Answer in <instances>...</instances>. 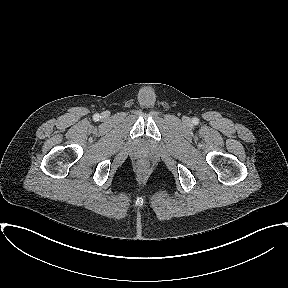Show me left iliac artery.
Segmentation results:
<instances>
[{"instance_id": "left-iliac-artery-1", "label": "left iliac artery", "mask_w": 288, "mask_h": 288, "mask_svg": "<svg viewBox=\"0 0 288 288\" xmlns=\"http://www.w3.org/2000/svg\"><path fill=\"white\" fill-rule=\"evenodd\" d=\"M193 122H194L195 124H197V123H198V119H194Z\"/></svg>"}]
</instances>
